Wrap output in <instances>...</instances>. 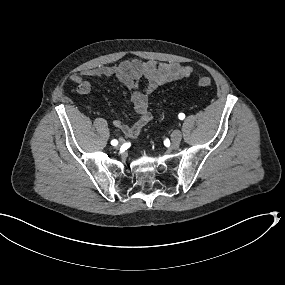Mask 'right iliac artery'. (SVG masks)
<instances>
[{"mask_svg":"<svg viewBox=\"0 0 285 285\" xmlns=\"http://www.w3.org/2000/svg\"><path fill=\"white\" fill-rule=\"evenodd\" d=\"M117 144H118V141H117V140H112V141H111V145L116 146Z\"/></svg>","mask_w":285,"mask_h":285,"instance_id":"82829eb1","label":"right iliac artery"}]
</instances>
